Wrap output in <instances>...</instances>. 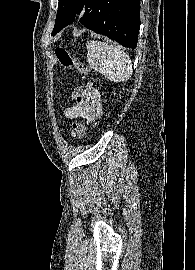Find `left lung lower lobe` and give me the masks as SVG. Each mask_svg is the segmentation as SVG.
I'll return each instance as SVG.
<instances>
[{"instance_id":"obj_1","label":"left lung lower lobe","mask_w":195,"mask_h":270,"mask_svg":"<svg viewBox=\"0 0 195 270\" xmlns=\"http://www.w3.org/2000/svg\"><path fill=\"white\" fill-rule=\"evenodd\" d=\"M83 7L85 12L80 22L86 28L125 47L137 46L140 0H87Z\"/></svg>"}]
</instances>
